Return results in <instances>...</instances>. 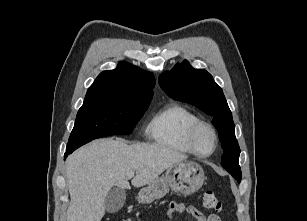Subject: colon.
Returning a JSON list of instances; mask_svg holds the SVG:
<instances>
[{
  "label": "colon",
  "instance_id": "obj_1",
  "mask_svg": "<svg viewBox=\"0 0 307 221\" xmlns=\"http://www.w3.org/2000/svg\"><path fill=\"white\" fill-rule=\"evenodd\" d=\"M204 206L207 209L220 211L222 208V204L220 200L216 197V195L212 191H206L203 195Z\"/></svg>",
  "mask_w": 307,
  "mask_h": 221
}]
</instances>
